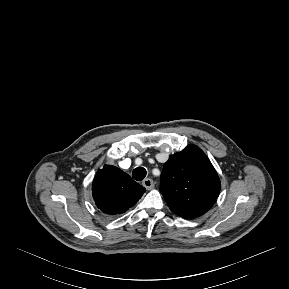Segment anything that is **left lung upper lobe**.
Listing matches in <instances>:
<instances>
[{"label":"left lung upper lobe","mask_w":289,"mask_h":289,"mask_svg":"<svg viewBox=\"0 0 289 289\" xmlns=\"http://www.w3.org/2000/svg\"><path fill=\"white\" fill-rule=\"evenodd\" d=\"M220 189L216 170L195 145L171 155L160 176V192L168 206L187 219L206 213L218 198Z\"/></svg>","instance_id":"obj_1"}]
</instances>
